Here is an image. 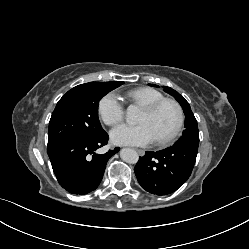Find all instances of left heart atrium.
Returning <instances> with one entry per match:
<instances>
[{
    "label": "left heart atrium",
    "mask_w": 249,
    "mask_h": 249,
    "mask_svg": "<svg viewBox=\"0 0 249 249\" xmlns=\"http://www.w3.org/2000/svg\"><path fill=\"white\" fill-rule=\"evenodd\" d=\"M111 140L119 145L144 146L154 142L155 137L146 123L122 124L111 131Z\"/></svg>",
    "instance_id": "obj_1"
}]
</instances>
